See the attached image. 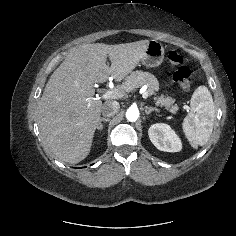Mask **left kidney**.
I'll use <instances>...</instances> for the list:
<instances>
[{
	"label": "left kidney",
	"mask_w": 236,
	"mask_h": 236,
	"mask_svg": "<svg viewBox=\"0 0 236 236\" xmlns=\"http://www.w3.org/2000/svg\"><path fill=\"white\" fill-rule=\"evenodd\" d=\"M148 134L154 146L161 151L179 152L182 149L179 137L167 124L152 125Z\"/></svg>",
	"instance_id": "5707ae66"
}]
</instances>
